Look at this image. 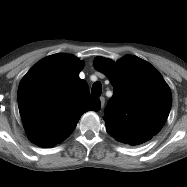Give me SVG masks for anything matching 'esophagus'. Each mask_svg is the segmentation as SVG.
<instances>
[{
  "label": "esophagus",
  "mask_w": 187,
  "mask_h": 187,
  "mask_svg": "<svg viewBox=\"0 0 187 187\" xmlns=\"http://www.w3.org/2000/svg\"><path fill=\"white\" fill-rule=\"evenodd\" d=\"M100 103H101V108H103L105 104V98L103 96L100 97Z\"/></svg>",
  "instance_id": "1"
}]
</instances>
